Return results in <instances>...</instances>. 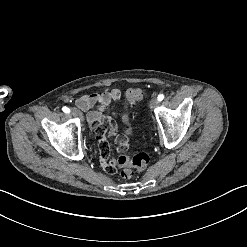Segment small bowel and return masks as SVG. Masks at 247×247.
Returning a JSON list of instances; mask_svg holds the SVG:
<instances>
[{"label":"small bowel","mask_w":247,"mask_h":247,"mask_svg":"<svg viewBox=\"0 0 247 247\" xmlns=\"http://www.w3.org/2000/svg\"><path fill=\"white\" fill-rule=\"evenodd\" d=\"M122 96L120 89L114 88L109 92L102 94H86L81 96L76 101V106L82 111H88L93 107L96 110H91L87 114V121L94 126L96 133L99 136H104L106 133L110 138H115V142L118 144V150L121 153H126L129 150V142L123 134H118L117 127V113H113L108 117L110 127H105L104 112L109 105L118 101ZM96 148L99 151L100 162L103 167V171L106 174H111L114 171L112 157L109 151V146L104 140H99L96 143Z\"/></svg>","instance_id":"1"}]
</instances>
